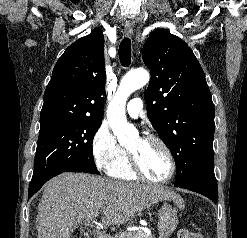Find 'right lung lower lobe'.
<instances>
[{
	"mask_svg": "<svg viewBox=\"0 0 247 238\" xmlns=\"http://www.w3.org/2000/svg\"><path fill=\"white\" fill-rule=\"evenodd\" d=\"M63 172H66V171L60 170V171L52 172V173L48 174L44 179H42L37 184L30 185L28 198H31L44 185V183L47 182L49 179H51L52 177L59 175Z\"/></svg>",
	"mask_w": 247,
	"mask_h": 238,
	"instance_id": "right-lung-lower-lobe-1",
	"label": "right lung lower lobe"
}]
</instances>
